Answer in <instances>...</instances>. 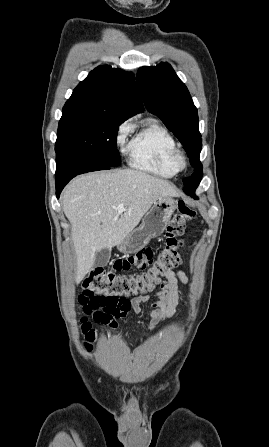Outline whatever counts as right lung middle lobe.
Returning <instances> with one entry per match:
<instances>
[{
    "instance_id": "obj_1",
    "label": "right lung middle lobe",
    "mask_w": 269,
    "mask_h": 447,
    "mask_svg": "<svg viewBox=\"0 0 269 447\" xmlns=\"http://www.w3.org/2000/svg\"><path fill=\"white\" fill-rule=\"evenodd\" d=\"M122 122L124 121L102 117L62 116L55 144L57 157H68L100 166H119L116 136Z\"/></svg>"
}]
</instances>
